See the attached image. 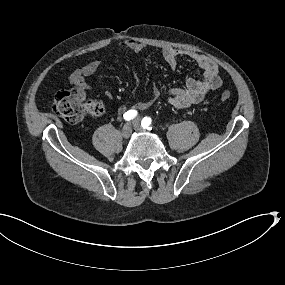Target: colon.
<instances>
[{"label":"colon","mask_w":285,"mask_h":285,"mask_svg":"<svg viewBox=\"0 0 285 285\" xmlns=\"http://www.w3.org/2000/svg\"><path fill=\"white\" fill-rule=\"evenodd\" d=\"M231 97L228 90L220 94L222 101H227ZM54 112L71 124L82 121L85 117H97L104 112L103 103L87 99L85 94L79 89H70L59 92L54 99Z\"/></svg>","instance_id":"colon-1"}]
</instances>
